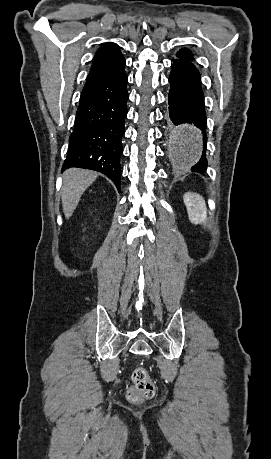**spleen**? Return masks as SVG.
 <instances>
[{
    "mask_svg": "<svg viewBox=\"0 0 271 459\" xmlns=\"http://www.w3.org/2000/svg\"><path fill=\"white\" fill-rule=\"evenodd\" d=\"M198 202H201V196H196ZM198 202H193V200H187L184 198V204L187 208L188 216L190 222L193 224H203L207 220V210L206 206H201Z\"/></svg>",
    "mask_w": 271,
    "mask_h": 459,
    "instance_id": "1",
    "label": "spleen"
}]
</instances>
